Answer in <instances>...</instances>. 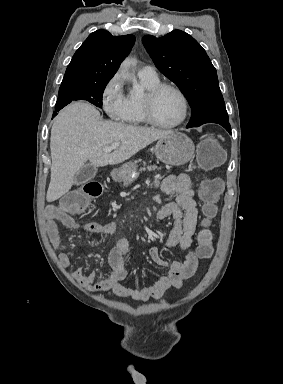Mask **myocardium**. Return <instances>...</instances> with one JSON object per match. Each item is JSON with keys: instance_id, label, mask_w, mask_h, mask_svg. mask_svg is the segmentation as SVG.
<instances>
[{"instance_id": "obj_1", "label": "myocardium", "mask_w": 283, "mask_h": 384, "mask_svg": "<svg viewBox=\"0 0 283 384\" xmlns=\"http://www.w3.org/2000/svg\"><path fill=\"white\" fill-rule=\"evenodd\" d=\"M164 90H171L178 95L182 102V115L181 117L172 124H162L159 123L154 115H153V101ZM141 108L144 120L150 126L161 129V130H171L179 127L184 123L188 116V101L184 93L175 85L170 83H158L145 92V94L141 97Z\"/></svg>"}]
</instances>
